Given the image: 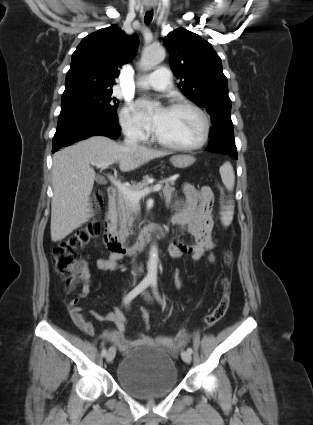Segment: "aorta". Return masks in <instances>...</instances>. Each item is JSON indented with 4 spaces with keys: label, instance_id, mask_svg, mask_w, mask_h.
Returning <instances> with one entry per match:
<instances>
[{
    "label": "aorta",
    "instance_id": "obj_1",
    "mask_svg": "<svg viewBox=\"0 0 313 425\" xmlns=\"http://www.w3.org/2000/svg\"><path fill=\"white\" fill-rule=\"evenodd\" d=\"M165 58V50L162 47H150L146 49L141 56L140 67L144 71L151 70L155 65L161 63ZM158 268V249L157 246H151L148 261L147 278L156 280Z\"/></svg>",
    "mask_w": 313,
    "mask_h": 425
}]
</instances>
